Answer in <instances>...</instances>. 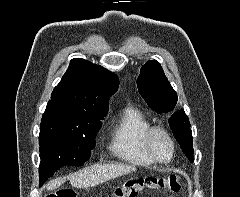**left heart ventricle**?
Masks as SVG:
<instances>
[{"label":"left heart ventricle","mask_w":240,"mask_h":197,"mask_svg":"<svg viewBox=\"0 0 240 197\" xmlns=\"http://www.w3.org/2000/svg\"><path fill=\"white\" fill-rule=\"evenodd\" d=\"M152 148L158 158L166 160L171 155V144L161 133H156L152 138Z\"/></svg>","instance_id":"b2bd125f"}]
</instances>
